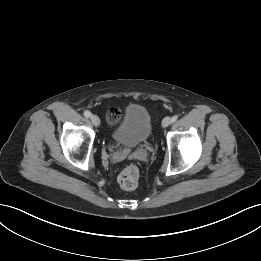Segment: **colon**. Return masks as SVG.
<instances>
[{
    "mask_svg": "<svg viewBox=\"0 0 261 261\" xmlns=\"http://www.w3.org/2000/svg\"><path fill=\"white\" fill-rule=\"evenodd\" d=\"M121 117V111L119 108H111L107 114V119L109 123L114 124L119 121ZM139 181V170L135 165L125 166L119 176L118 182L120 186L126 190H132L136 188Z\"/></svg>",
    "mask_w": 261,
    "mask_h": 261,
    "instance_id": "obj_1",
    "label": "colon"
}]
</instances>
